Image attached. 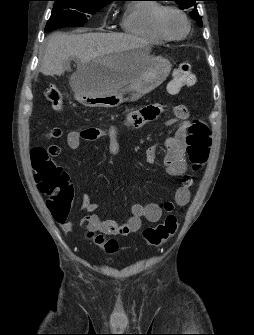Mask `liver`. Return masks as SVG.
<instances>
[{"instance_id": "obj_1", "label": "liver", "mask_w": 254, "mask_h": 335, "mask_svg": "<svg viewBox=\"0 0 254 335\" xmlns=\"http://www.w3.org/2000/svg\"><path fill=\"white\" fill-rule=\"evenodd\" d=\"M143 45V42L132 35L121 33H84L69 34L55 32L49 36L40 71L43 75H62L68 62L76 58L79 63L77 71L71 77V87L76 83L93 81L105 92L118 91L133 78L148 69L146 61L129 67H117L94 75L87 65L96 59Z\"/></svg>"}]
</instances>
